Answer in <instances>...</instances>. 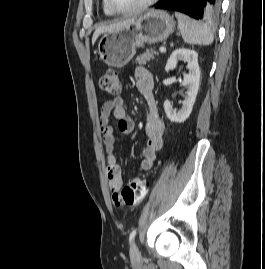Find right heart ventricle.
Masks as SVG:
<instances>
[{
    "label": "right heart ventricle",
    "instance_id": "1",
    "mask_svg": "<svg viewBox=\"0 0 265 269\" xmlns=\"http://www.w3.org/2000/svg\"><path fill=\"white\" fill-rule=\"evenodd\" d=\"M102 8L106 15H113L114 12L110 9L107 0H102Z\"/></svg>",
    "mask_w": 265,
    "mask_h": 269
}]
</instances>
